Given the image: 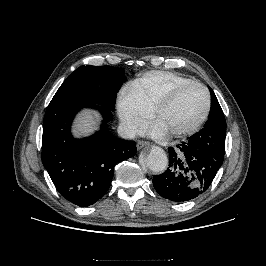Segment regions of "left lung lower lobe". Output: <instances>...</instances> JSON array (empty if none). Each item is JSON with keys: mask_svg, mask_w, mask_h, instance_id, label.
Returning <instances> with one entry per match:
<instances>
[{"mask_svg": "<svg viewBox=\"0 0 266 266\" xmlns=\"http://www.w3.org/2000/svg\"><path fill=\"white\" fill-rule=\"evenodd\" d=\"M169 167L153 177L159 195L174 202L194 199L211 185L223 158L214 157L188 142L169 147Z\"/></svg>", "mask_w": 266, "mask_h": 266, "instance_id": "1", "label": "left lung lower lobe"}]
</instances>
